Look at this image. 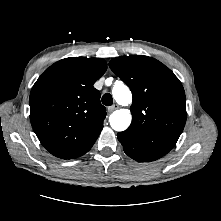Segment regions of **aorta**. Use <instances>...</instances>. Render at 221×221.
<instances>
[{"instance_id":"762f6f07","label":"aorta","mask_w":221,"mask_h":221,"mask_svg":"<svg viewBox=\"0 0 221 221\" xmlns=\"http://www.w3.org/2000/svg\"><path fill=\"white\" fill-rule=\"evenodd\" d=\"M112 94L119 105L128 106L132 102L131 91L122 82L113 87ZM131 120L132 116L128 109L116 110L109 117L111 127L118 132L126 130L131 124Z\"/></svg>"}]
</instances>
